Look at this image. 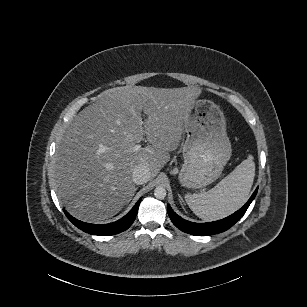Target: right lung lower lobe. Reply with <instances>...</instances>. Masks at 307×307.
<instances>
[{
	"mask_svg": "<svg viewBox=\"0 0 307 307\" xmlns=\"http://www.w3.org/2000/svg\"><path fill=\"white\" fill-rule=\"evenodd\" d=\"M140 202H141V199L138 200V202L134 205L131 211L127 215H125L123 218H121L120 220L116 222L109 223V224L97 225V224L85 223V222L75 219L70 214H68L65 210H64V213L76 227L83 230L84 232L93 234V235L109 236V235H114V234L123 232L131 226V224L133 223L137 215V211H138Z\"/></svg>",
	"mask_w": 307,
	"mask_h": 307,
	"instance_id": "1",
	"label": "right lung lower lobe"
}]
</instances>
